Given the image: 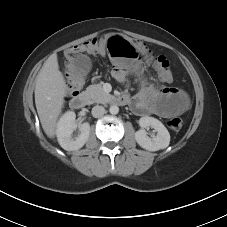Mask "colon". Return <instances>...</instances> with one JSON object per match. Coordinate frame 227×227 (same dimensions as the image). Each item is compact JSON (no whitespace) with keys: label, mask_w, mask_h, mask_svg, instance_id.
Segmentation results:
<instances>
[{"label":"colon","mask_w":227,"mask_h":227,"mask_svg":"<svg viewBox=\"0 0 227 227\" xmlns=\"http://www.w3.org/2000/svg\"><path fill=\"white\" fill-rule=\"evenodd\" d=\"M104 51H107L109 56L116 62L142 56L158 72L162 81L172 82L173 80L170 62L166 57L154 54L142 41L121 34H106L68 48L65 51L66 63L76 53L86 55L102 53ZM83 83L84 81L80 84H73L67 81L69 92L78 93ZM167 124L171 130L179 131L183 126V121L180 117H173L168 120Z\"/></svg>","instance_id":"obj_1"}]
</instances>
